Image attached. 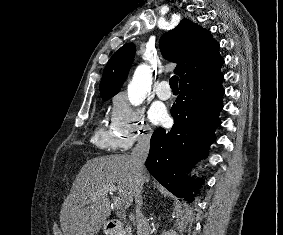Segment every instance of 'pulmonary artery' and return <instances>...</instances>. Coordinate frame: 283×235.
Returning a JSON list of instances; mask_svg holds the SVG:
<instances>
[{
	"label": "pulmonary artery",
	"instance_id": "e3ab8cb5",
	"mask_svg": "<svg viewBox=\"0 0 283 235\" xmlns=\"http://www.w3.org/2000/svg\"><path fill=\"white\" fill-rule=\"evenodd\" d=\"M156 95L161 100H168L171 98V90L169 88V83L166 80L161 81L155 89Z\"/></svg>",
	"mask_w": 283,
	"mask_h": 235
}]
</instances>
